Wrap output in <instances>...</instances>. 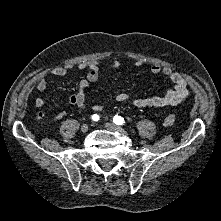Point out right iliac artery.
<instances>
[{"mask_svg": "<svg viewBox=\"0 0 221 221\" xmlns=\"http://www.w3.org/2000/svg\"><path fill=\"white\" fill-rule=\"evenodd\" d=\"M91 118H92L93 121H98L100 119V116L97 115V114H94V115H92Z\"/></svg>", "mask_w": 221, "mask_h": 221, "instance_id": "82829eb1", "label": "right iliac artery"}]
</instances>
